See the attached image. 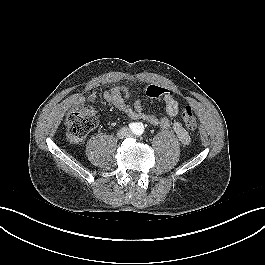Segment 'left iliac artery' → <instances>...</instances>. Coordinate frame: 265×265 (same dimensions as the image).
<instances>
[{
	"mask_svg": "<svg viewBox=\"0 0 265 265\" xmlns=\"http://www.w3.org/2000/svg\"><path fill=\"white\" fill-rule=\"evenodd\" d=\"M143 131H144L143 125L139 123L138 129H137V134H142Z\"/></svg>",
	"mask_w": 265,
	"mask_h": 265,
	"instance_id": "1",
	"label": "left iliac artery"
}]
</instances>
